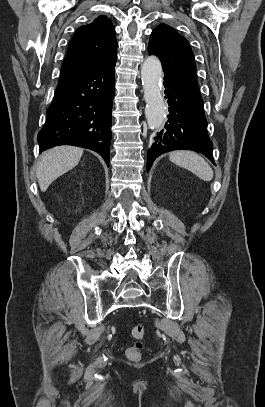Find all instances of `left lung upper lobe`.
<instances>
[{
    "mask_svg": "<svg viewBox=\"0 0 265 407\" xmlns=\"http://www.w3.org/2000/svg\"><path fill=\"white\" fill-rule=\"evenodd\" d=\"M148 53L159 57L165 76L180 81L200 94L194 54L186 38L172 27L160 24L151 34Z\"/></svg>",
    "mask_w": 265,
    "mask_h": 407,
    "instance_id": "1",
    "label": "left lung upper lobe"
}]
</instances>
